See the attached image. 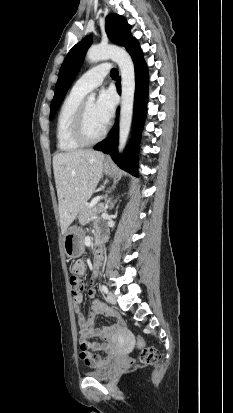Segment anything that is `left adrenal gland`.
I'll list each match as a JSON object with an SVG mask.
<instances>
[{"mask_svg":"<svg viewBox=\"0 0 233 413\" xmlns=\"http://www.w3.org/2000/svg\"><path fill=\"white\" fill-rule=\"evenodd\" d=\"M116 201H117V199L114 200V201H112V199L110 198V199L107 201L106 206L109 207V209L111 210V209L114 207V204H115Z\"/></svg>","mask_w":233,"mask_h":413,"instance_id":"left-adrenal-gland-1","label":"left adrenal gland"}]
</instances>
